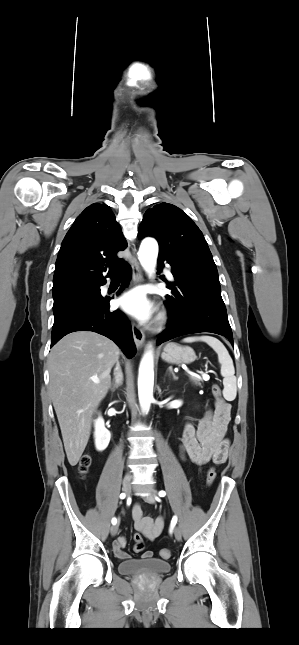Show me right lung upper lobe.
Returning a JSON list of instances; mask_svg holds the SVG:
<instances>
[{
  "instance_id": "right-lung-upper-lobe-1",
  "label": "right lung upper lobe",
  "mask_w": 299,
  "mask_h": 645,
  "mask_svg": "<svg viewBox=\"0 0 299 645\" xmlns=\"http://www.w3.org/2000/svg\"><path fill=\"white\" fill-rule=\"evenodd\" d=\"M127 242L106 204L88 206L74 221L62 241L55 264L53 291L74 284H101L122 260L116 256Z\"/></svg>"
}]
</instances>
